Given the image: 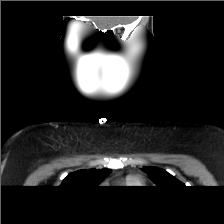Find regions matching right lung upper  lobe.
<instances>
[{
    "label": "right lung upper lobe",
    "mask_w": 224,
    "mask_h": 224,
    "mask_svg": "<svg viewBox=\"0 0 224 224\" xmlns=\"http://www.w3.org/2000/svg\"><path fill=\"white\" fill-rule=\"evenodd\" d=\"M110 169L79 170L70 173L62 182L69 188H88L99 185L109 174Z\"/></svg>",
    "instance_id": "obj_1"
}]
</instances>
